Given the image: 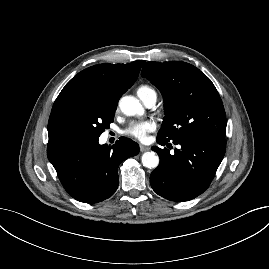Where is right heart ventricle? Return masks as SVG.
I'll use <instances>...</instances> for the list:
<instances>
[{
  "mask_svg": "<svg viewBox=\"0 0 269 269\" xmlns=\"http://www.w3.org/2000/svg\"><path fill=\"white\" fill-rule=\"evenodd\" d=\"M137 94L144 101L149 96L156 95V92H155V90L151 86H149L147 84H143V85H140L137 88Z\"/></svg>",
  "mask_w": 269,
  "mask_h": 269,
  "instance_id": "e07e8e85",
  "label": "right heart ventricle"
}]
</instances>
